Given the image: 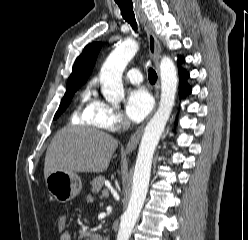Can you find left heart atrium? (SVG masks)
<instances>
[{"label": "left heart atrium", "mask_w": 248, "mask_h": 240, "mask_svg": "<svg viewBox=\"0 0 248 240\" xmlns=\"http://www.w3.org/2000/svg\"><path fill=\"white\" fill-rule=\"evenodd\" d=\"M153 100L147 89L137 87L129 91L126 101V113L133 122H140L151 111Z\"/></svg>", "instance_id": "left-heart-atrium-1"}]
</instances>
